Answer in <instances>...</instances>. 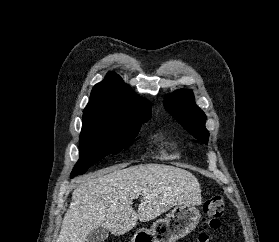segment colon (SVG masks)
Here are the masks:
<instances>
[{
    "label": "colon",
    "mask_w": 279,
    "mask_h": 242,
    "mask_svg": "<svg viewBox=\"0 0 279 242\" xmlns=\"http://www.w3.org/2000/svg\"><path fill=\"white\" fill-rule=\"evenodd\" d=\"M225 208V199L220 194L210 196L204 203L203 222L210 230H217L221 225V217ZM212 237L208 231H201L197 242H211Z\"/></svg>",
    "instance_id": "5ec220e1"
}]
</instances>
